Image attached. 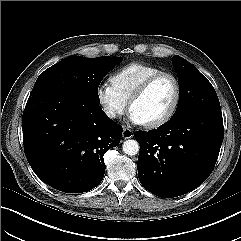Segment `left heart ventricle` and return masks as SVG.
<instances>
[{
    "mask_svg": "<svg viewBox=\"0 0 241 241\" xmlns=\"http://www.w3.org/2000/svg\"><path fill=\"white\" fill-rule=\"evenodd\" d=\"M175 96V86L168 77L158 79L141 97L134 103L131 112L142 122L148 123L162 117L171 107Z\"/></svg>",
    "mask_w": 241,
    "mask_h": 241,
    "instance_id": "1",
    "label": "left heart ventricle"
}]
</instances>
